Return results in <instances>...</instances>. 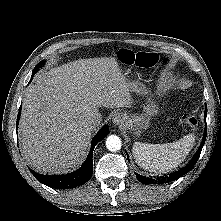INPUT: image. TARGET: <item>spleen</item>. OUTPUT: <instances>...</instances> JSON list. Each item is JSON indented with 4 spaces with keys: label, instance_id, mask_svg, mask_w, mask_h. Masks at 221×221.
<instances>
[{
    "label": "spleen",
    "instance_id": "1",
    "mask_svg": "<svg viewBox=\"0 0 221 221\" xmlns=\"http://www.w3.org/2000/svg\"><path fill=\"white\" fill-rule=\"evenodd\" d=\"M195 142V136L188 134L178 141L166 144L135 142L133 155L136 163L150 172L167 173L186 158Z\"/></svg>",
    "mask_w": 221,
    "mask_h": 221
}]
</instances>
